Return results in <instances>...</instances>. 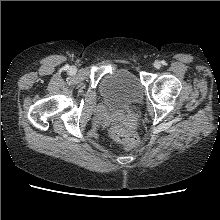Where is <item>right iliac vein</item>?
Segmentation results:
<instances>
[{
  "mask_svg": "<svg viewBox=\"0 0 220 220\" xmlns=\"http://www.w3.org/2000/svg\"><path fill=\"white\" fill-rule=\"evenodd\" d=\"M70 71H71V73H75V72H76L75 67H71V68H70Z\"/></svg>",
  "mask_w": 220,
  "mask_h": 220,
  "instance_id": "63e3f726",
  "label": "right iliac vein"
}]
</instances>
